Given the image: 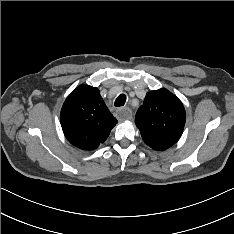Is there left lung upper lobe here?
Masks as SVG:
<instances>
[{"label": "left lung upper lobe", "instance_id": "1", "mask_svg": "<svg viewBox=\"0 0 234 234\" xmlns=\"http://www.w3.org/2000/svg\"><path fill=\"white\" fill-rule=\"evenodd\" d=\"M185 121L182 102L166 89L148 92L135 116L136 126L150 147L159 141L176 143L181 137Z\"/></svg>", "mask_w": 234, "mask_h": 234}]
</instances>
